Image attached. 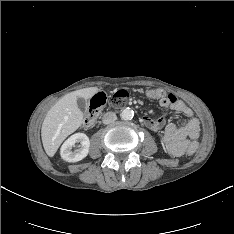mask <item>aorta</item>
I'll return each instance as SVG.
<instances>
[{
	"label": "aorta",
	"mask_w": 234,
	"mask_h": 234,
	"mask_svg": "<svg viewBox=\"0 0 234 234\" xmlns=\"http://www.w3.org/2000/svg\"><path fill=\"white\" fill-rule=\"evenodd\" d=\"M133 116H134V112L130 108L124 109L120 114V117L123 120H131Z\"/></svg>",
	"instance_id": "762f6f07"
}]
</instances>
